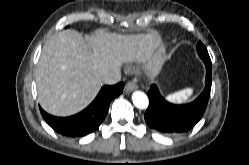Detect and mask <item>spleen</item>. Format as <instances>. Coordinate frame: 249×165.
<instances>
[{
  "mask_svg": "<svg viewBox=\"0 0 249 165\" xmlns=\"http://www.w3.org/2000/svg\"><path fill=\"white\" fill-rule=\"evenodd\" d=\"M193 94L191 88L183 89L181 91L175 92L167 96V100L173 103H186L189 100V97Z\"/></svg>",
  "mask_w": 249,
  "mask_h": 165,
  "instance_id": "obj_1",
  "label": "spleen"
}]
</instances>
